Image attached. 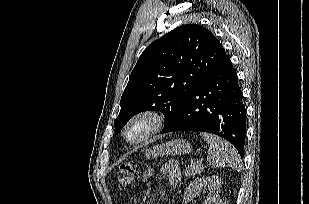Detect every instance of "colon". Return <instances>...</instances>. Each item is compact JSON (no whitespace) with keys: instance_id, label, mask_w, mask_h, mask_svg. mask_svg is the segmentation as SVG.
<instances>
[{"instance_id":"colon-1","label":"colon","mask_w":309,"mask_h":204,"mask_svg":"<svg viewBox=\"0 0 309 204\" xmlns=\"http://www.w3.org/2000/svg\"><path fill=\"white\" fill-rule=\"evenodd\" d=\"M138 175V169L133 163H127L120 167L117 175V183L120 189H126L135 181Z\"/></svg>"}]
</instances>
